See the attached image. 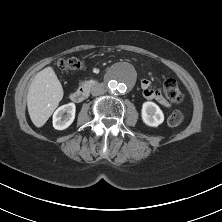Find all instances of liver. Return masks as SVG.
<instances>
[{"mask_svg":"<svg viewBox=\"0 0 222 222\" xmlns=\"http://www.w3.org/2000/svg\"><path fill=\"white\" fill-rule=\"evenodd\" d=\"M63 88L52 67L38 72L27 94V108L31 121L42 127L63 98Z\"/></svg>","mask_w":222,"mask_h":222,"instance_id":"liver-1","label":"liver"}]
</instances>
